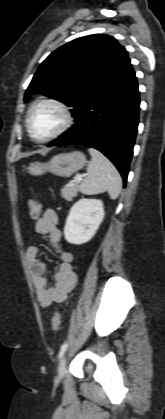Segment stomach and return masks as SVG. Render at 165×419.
I'll return each mask as SVG.
<instances>
[{
	"label": "stomach",
	"mask_w": 165,
	"mask_h": 419,
	"mask_svg": "<svg viewBox=\"0 0 165 419\" xmlns=\"http://www.w3.org/2000/svg\"><path fill=\"white\" fill-rule=\"evenodd\" d=\"M86 164L85 155L80 151L55 155L47 163L34 162L28 167L32 175H43L50 172L61 177H69Z\"/></svg>",
	"instance_id": "stomach-1"
}]
</instances>
